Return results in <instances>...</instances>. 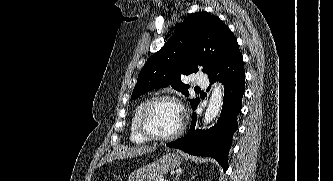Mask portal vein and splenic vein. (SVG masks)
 I'll list each match as a JSON object with an SVG mask.
<instances>
[{
  "label": "portal vein and splenic vein",
  "mask_w": 333,
  "mask_h": 181,
  "mask_svg": "<svg viewBox=\"0 0 333 181\" xmlns=\"http://www.w3.org/2000/svg\"><path fill=\"white\" fill-rule=\"evenodd\" d=\"M159 181H164L163 179H159Z\"/></svg>",
  "instance_id": "obj_1"
}]
</instances>
